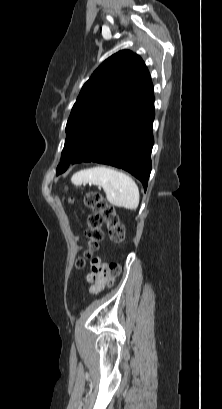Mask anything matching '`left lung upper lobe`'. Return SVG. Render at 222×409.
I'll return each mask as SVG.
<instances>
[{"mask_svg": "<svg viewBox=\"0 0 222 409\" xmlns=\"http://www.w3.org/2000/svg\"><path fill=\"white\" fill-rule=\"evenodd\" d=\"M153 97L150 74L138 55L124 50L105 60L83 85L72 108L57 174L81 155L127 100L147 102Z\"/></svg>", "mask_w": 222, "mask_h": 409, "instance_id": "left-lung-upper-lobe-1", "label": "left lung upper lobe"}]
</instances>
